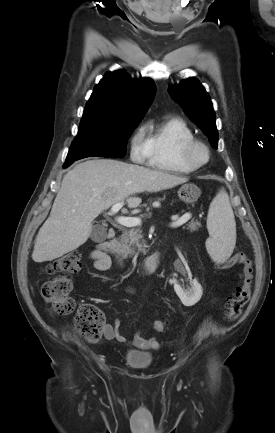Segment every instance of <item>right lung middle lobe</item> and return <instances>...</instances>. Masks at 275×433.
Returning <instances> with one entry per match:
<instances>
[{"mask_svg":"<svg viewBox=\"0 0 275 433\" xmlns=\"http://www.w3.org/2000/svg\"><path fill=\"white\" fill-rule=\"evenodd\" d=\"M139 120L124 123L81 122L63 167L74 161L98 156L122 158L126 155L127 138Z\"/></svg>","mask_w":275,"mask_h":433,"instance_id":"right-lung-middle-lobe-1","label":"right lung middle lobe"}]
</instances>
